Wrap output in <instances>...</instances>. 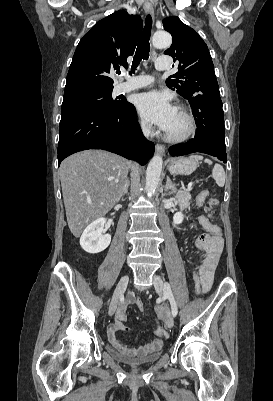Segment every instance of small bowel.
<instances>
[{
  "label": "small bowel",
  "mask_w": 273,
  "mask_h": 401,
  "mask_svg": "<svg viewBox=\"0 0 273 401\" xmlns=\"http://www.w3.org/2000/svg\"><path fill=\"white\" fill-rule=\"evenodd\" d=\"M198 221L202 223V228H217L209 222L207 215H202L198 218ZM218 229V228H217ZM220 232V230L218 229ZM194 245L199 250L205 253V257L199 269V280L203 292H208L212 287L215 271L223 251V241H204V234L194 241ZM137 295L134 293L128 294L123 303H121L117 309L113 323L108 327L107 335L110 343L118 350L123 352L132 351L137 355L143 356L146 354H154L160 350L161 346L167 342V334L159 327L154 329V332L158 335V338L145 344L139 349H131L118 337L119 332H128L130 328L125 325L126 311L129 306H135ZM153 311L156 312L157 318H166L169 310L168 306L154 305ZM159 322V321H158Z\"/></svg>",
  "instance_id": "c3829d8e"
}]
</instances>
